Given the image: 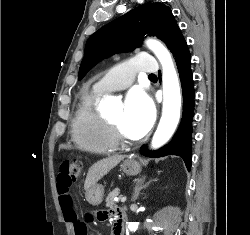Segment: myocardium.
<instances>
[{
    "label": "myocardium",
    "instance_id": "obj_1",
    "mask_svg": "<svg viewBox=\"0 0 250 235\" xmlns=\"http://www.w3.org/2000/svg\"><path fill=\"white\" fill-rule=\"evenodd\" d=\"M106 122L108 123L109 127L111 128L112 134H113V136L118 144L127 145V144H131V143L135 142L133 139L126 137L124 135L123 131L121 130V128L117 124L110 121L109 119H106Z\"/></svg>",
    "mask_w": 250,
    "mask_h": 235
}]
</instances>
